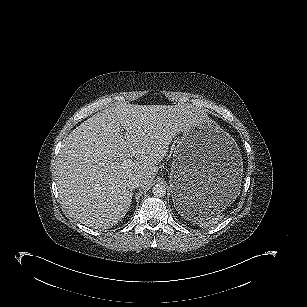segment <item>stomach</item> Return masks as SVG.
Instances as JSON below:
<instances>
[{"mask_svg": "<svg viewBox=\"0 0 307 307\" xmlns=\"http://www.w3.org/2000/svg\"><path fill=\"white\" fill-rule=\"evenodd\" d=\"M243 159L234 139L207 115L185 128L169 176L176 210L191 220L222 211L238 196Z\"/></svg>", "mask_w": 307, "mask_h": 307, "instance_id": "obj_1", "label": "stomach"}]
</instances>
